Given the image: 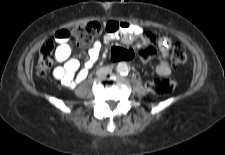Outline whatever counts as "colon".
I'll return each mask as SVG.
<instances>
[{
	"label": "colon",
	"instance_id": "colon-1",
	"mask_svg": "<svg viewBox=\"0 0 225 155\" xmlns=\"http://www.w3.org/2000/svg\"><path fill=\"white\" fill-rule=\"evenodd\" d=\"M102 27L98 22H89L78 25L72 30L73 39L80 47H86L92 43L94 38L101 32ZM158 40L151 31L146 33L144 42L138 52L139 64L142 68L147 69L151 66V57L156 52ZM107 54L114 61L124 60L131 62L135 58V53L131 49H119L116 45H111L107 49ZM172 60L176 67L187 63L188 54L184 46L176 43L172 50ZM55 62L54 43L46 41L39 50L36 71L39 76H45L52 68ZM176 86V82L171 79H157L148 83V88L156 95L165 96L170 94Z\"/></svg>",
	"mask_w": 225,
	"mask_h": 155
}]
</instances>
